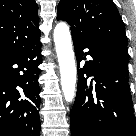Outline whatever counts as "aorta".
<instances>
[{
  "label": "aorta",
  "instance_id": "aorta-1",
  "mask_svg": "<svg viewBox=\"0 0 136 136\" xmlns=\"http://www.w3.org/2000/svg\"><path fill=\"white\" fill-rule=\"evenodd\" d=\"M53 37L60 66L61 88L65 100L72 102L75 97L76 65L69 26L65 22L58 23Z\"/></svg>",
  "mask_w": 136,
  "mask_h": 136
}]
</instances>
